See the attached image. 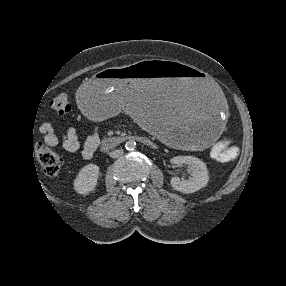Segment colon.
I'll return each mask as SVG.
<instances>
[{"mask_svg": "<svg viewBox=\"0 0 286 286\" xmlns=\"http://www.w3.org/2000/svg\"><path fill=\"white\" fill-rule=\"evenodd\" d=\"M50 108L60 116L67 115L71 111V101L68 95L61 94L55 97L50 102ZM232 139L230 137L224 138L212 148V155L220 160H229L231 153L229 152L230 143ZM36 157L43 169V172L47 176H55L58 174L62 166V157L51 148L38 144L35 147Z\"/></svg>", "mask_w": 286, "mask_h": 286, "instance_id": "5ec220e1", "label": "colon"}]
</instances>
